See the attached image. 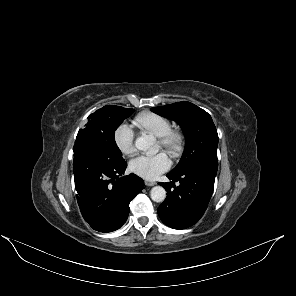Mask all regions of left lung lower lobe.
Instances as JSON below:
<instances>
[{
    "label": "left lung lower lobe",
    "mask_w": 296,
    "mask_h": 296,
    "mask_svg": "<svg viewBox=\"0 0 296 296\" xmlns=\"http://www.w3.org/2000/svg\"><path fill=\"white\" fill-rule=\"evenodd\" d=\"M217 168L218 163H201L180 173L167 174L172 182L160 183L167 190V197L158 207L165 225L185 229L203 216L213 193ZM176 181L180 182L177 187Z\"/></svg>",
    "instance_id": "1"
}]
</instances>
